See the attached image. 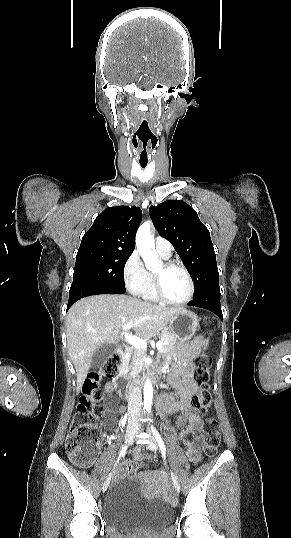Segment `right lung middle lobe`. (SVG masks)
<instances>
[{
	"label": "right lung middle lobe",
	"instance_id": "1",
	"mask_svg": "<svg viewBox=\"0 0 291 538\" xmlns=\"http://www.w3.org/2000/svg\"><path fill=\"white\" fill-rule=\"evenodd\" d=\"M132 252L90 249L78 251L70 292L84 288L125 291L124 266Z\"/></svg>",
	"mask_w": 291,
	"mask_h": 538
}]
</instances>
